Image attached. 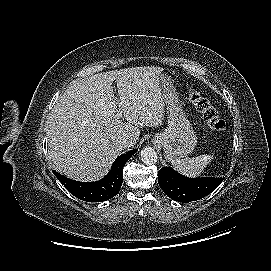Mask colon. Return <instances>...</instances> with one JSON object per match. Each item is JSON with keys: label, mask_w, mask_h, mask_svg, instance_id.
Returning <instances> with one entry per match:
<instances>
[{"label": "colon", "mask_w": 271, "mask_h": 271, "mask_svg": "<svg viewBox=\"0 0 271 271\" xmlns=\"http://www.w3.org/2000/svg\"><path fill=\"white\" fill-rule=\"evenodd\" d=\"M189 98L196 108L202 113L208 127L214 132H222L226 128L225 121L220 118L217 110L212 106L207 98L202 96L197 90H189Z\"/></svg>", "instance_id": "5ec220e1"}]
</instances>
